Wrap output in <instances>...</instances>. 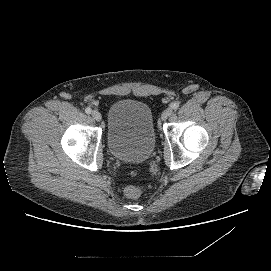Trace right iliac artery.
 <instances>
[{
  "mask_svg": "<svg viewBox=\"0 0 271 271\" xmlns=\"http://www.w3.org/2000/svg\"><path fill=\"white\" fill-rule=\"evenodd\" d=\"M85 112H86L87 114H91L92 109L88 107V108L85 109Z\"/></svg>",
  "mask_w": 271,
  "mask_h": 271,
  "instance_id": "1",
  "label": "right iliac artery"
}]
</instances>
